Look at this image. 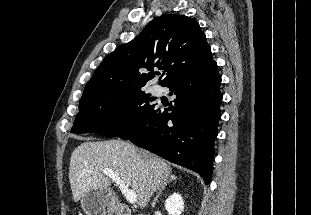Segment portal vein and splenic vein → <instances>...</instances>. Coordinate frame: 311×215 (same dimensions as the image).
Returning a JSON list of instances; mask_svg holds the SVG:
<instances>
[{
    "instance_id": "portal-vein-and-splenic-vein-1",
    "label": "portal vein and splenic vein",
    "mask_w": 311,
    "mask_h": 215,
    "mask_svg": "<svg viewBox=\"0 0 311 215\" xmlns=\"http://www.w3.org/2000/svg\"><path fill=\"white\" fill-rule=\"evenodd\" d=\"M103 174L108 176L112 181L120 188L122 194L125 196L126 200L131 203L135 204L137 202V195L136 193L129 189L125 182L113 171L109 169H103Z\"/></svg>"
}]
</instances>
